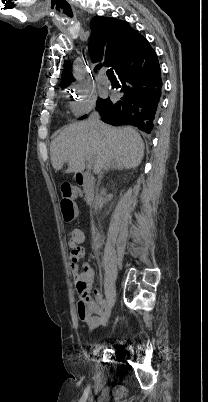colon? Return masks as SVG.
<instances>
[{"instance_id": "5ec220e1", "label": "colon", "mask_w": 208, "mask_h": 402, "mask_svg": "<svg viewBox=\"0 0 208 402\" xmlns=\"http://www.w3.org/2000/svg\"><path fill=\"white\" fill-rule=\"evenodd\" d=\"M74 191H75L74 184L64 183L60 187L61 196L64 198H69L73 194ZM63 212H64V215H63L64 222H75V220H76L75 205H64ZM67 239H68V243L70 244V246L75 247V248L70 249V260L72 263L75 264L79 260L77 256L81 255L84 250V247L81 245V242H80L81 237L77 231L71 230V231L67 232ZM83 295H84V297L78 298L79 313H80V317H82V318L87 317L88 315L91 314L90 306L93 305V298L89 297V292H88L87 288L84 289Z\"/></svg>"}]
</instances>
